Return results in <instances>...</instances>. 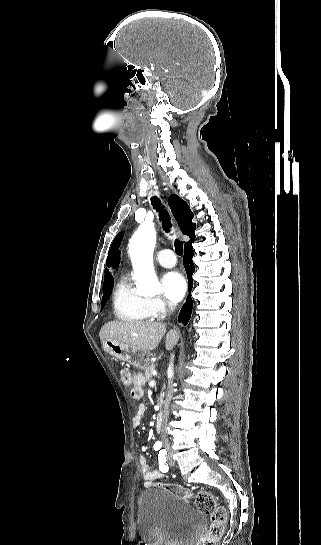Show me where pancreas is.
<instances>
[{
  "label": "pancreas",
  "mask_w": 321,
  "mask_h": 545,
  "mask_svg": "<svg viewBox=\"0 0 321 545\" xmlns=\"http://www.w3.org/2000/svg\"><path fill=\"white\" fill-rule=\"evenodd\" d=\"M153 371H155V365H154V363H150V365H148L147 369H145V377H146L147 383H151V377L153 375ZM164 389H165V387H163V389H162L160 399H163Z\"/></svg>",
  "instance_id": "cf45deb5"
}]
</instances>
